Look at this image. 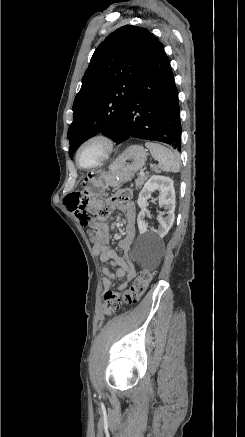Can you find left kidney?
Masks as SVG:
<instances>
[{
    "mask_svg": "<svg viewBox=\"0 0 245 437\" xmlns=\"http://www.w3.org/2000/svg\"><path fill=\"white\" fill-rule=\"evenodd\" d=\"M174 181L166 176L154 175L144 185L138 198V206L141 211L137 217V224L141 235H148L155 240L162 239L171 229L175 215V189ZM159 190L161 195L159 198V207L167 210V216L163 217L164 213H160L158 217L159 227L157 230L149 231L145 223L147 213V200L151 197V193Z\"/></svg>",
    "mask_w": 245,
    "mask_h": 437,
    "instance_id": "left-kidney-1",
    "label": "left kidney"
}]
</instances>
